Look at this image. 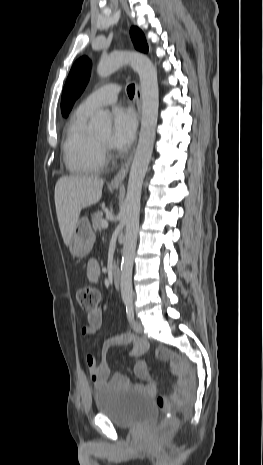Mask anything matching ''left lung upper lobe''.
<instances>
[{
	"mask_svg": "<svg viewBox=\"0 0 263 465\" xmlns=\"http://www.w3.org/2000/svg\"><path fill=\"white\" fill-rule=\"evenodd\" d=\"M130 35L137 50L147 53L148 45L143 32L137 28L130 29ZM91 61L88 57L79 58L71 68L61 98V111L67 117L75 100L82 94L90 76Z\"/></svg>",
	"mask_w": 263,
	"mask_h": 465,
	"instance_id": "1",
	"label": "left lung upper lobe"
}]
</instances>
